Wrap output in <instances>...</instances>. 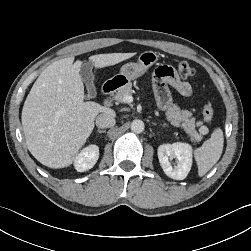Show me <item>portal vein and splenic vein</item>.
<instances>
[{
    "label": "portal vein and splenic vein",
    "mask_w": 251,
    "mask_h": 251,
    "mask_svg": "<svg viewBox=\"0 0 251 251\" xmlns=\"http://www.w3.org/2000/svg\"><path fill=\"white\" fill-rule=\"evenodd\" d=\"M133 100L132 96L131 95H126L124 98H123V102H126V103H131Z\"/></svg>",
    "instance_id": "18ae733b"
}]
</instances>
